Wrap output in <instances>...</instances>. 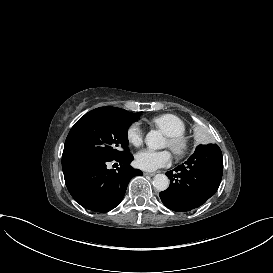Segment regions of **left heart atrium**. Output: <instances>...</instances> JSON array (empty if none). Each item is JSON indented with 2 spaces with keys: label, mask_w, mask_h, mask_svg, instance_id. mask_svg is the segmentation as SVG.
<instances>
[{
  "label": "left heart atrium",
  "mask_w": 273,
  "mask_h": 273,
  "mask_svg": "<svg viewBox=\"0 0 273 273\" xmlns=\"http://www.w3.org/2000/svg\"><path fill=\"white\" fill-rule=\"evenodd\" d=\"M172 161L169 150H155L151 148L141 149L136 156V164L140 169L154 171L160 167L167 166Z\"/></svg>",
  "instance_id": "left-heart-atrium-1"
}]
</instances>
